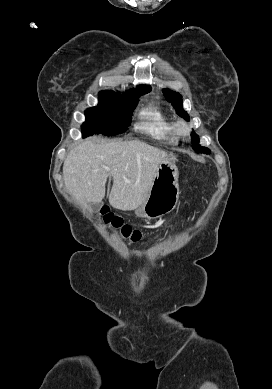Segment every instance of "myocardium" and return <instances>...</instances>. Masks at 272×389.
I'll use <instances>...</instances> for the list:
<instances>
[{
	"mask_svg": "<svg viewBox=\"0 0 272 389\" xmlns=\"http://www.w3.org/2000/svg\"><path fill=\"white\" fill-rule=\"evenodd\" d=\"M175 132L180 137H187L190 134V128L183 120H179L175 123Z\"/></svg>",
	"mask_w": 272,
	"mask_h": 389,
	"instance_id": "f54148a6",
	"label": "myocardium"
}]
</instances>
